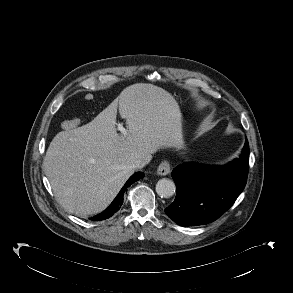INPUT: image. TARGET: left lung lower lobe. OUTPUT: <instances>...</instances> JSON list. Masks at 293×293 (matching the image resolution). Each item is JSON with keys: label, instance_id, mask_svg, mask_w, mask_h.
<instances>
[{"label": "left lung lower lobe", "instance_id": "left-lung-lower-lobe-1", "mask_svg": "<svg viewBox=\"0 0 293 293\" xmlns=\"http://www.w3.org/2000/svg\"><path fill=\"white\" fill-rule=\"evenodd\" d=\"M249 170V143L228 165L183 163L172 171L177 194L165 213L182 226L203 225L226 212L243 191Z\"/></svg>", "mask_w": 293, "mask_h": 293}]
</instances>
